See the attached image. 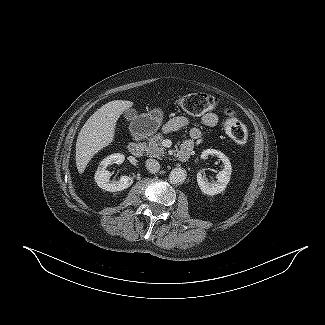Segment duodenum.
Listing matches in <instances>:
<instances>
[{"label":"duodenum","instance_id":"obj_1","mask_svg":"<svg viewBox=\"0 0 325 325\" xmlns=\"http://www.w3.org/2000/svg\"><path fill=\"white\" fill-rule=\"evenodd\" d=\"M128 151L134 156H141L144 152V138L141 135H136L135 140L128 145ZM193 151V147L188 144H184L177 154V158L181 162L187 161Z\"/></svg>","mask_w":325,"mask_h":325}]
</instances>
